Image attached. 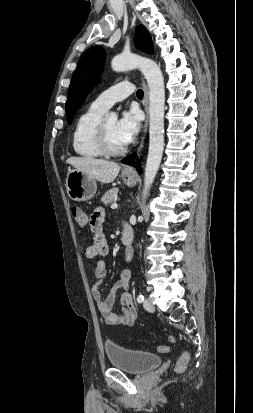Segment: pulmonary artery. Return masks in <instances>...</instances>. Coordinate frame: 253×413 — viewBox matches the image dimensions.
I'll return each instance as SVG.
<instances>
[{"mask_svg":"<svg viewBox=\"0 0 253 413\" xmlns=\"http://www.w3.org/2000/svg\"><path fill=\"white\" fill-rule=\"evenodd\" d=\"M134 92V85L128 81L117 83L102 92L92 105L103 111H107L116 102L122 101Z\"/></svg>","mask_w":253,"mask_h":413,"instance_id":"1","label":"pulmonary artery"}]
</instances>
